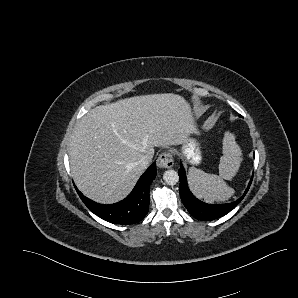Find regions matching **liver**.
Here are the masks:
<instances>
[{
  "mask_svg": "<svg viewBox=\"0 0 298 298\" xmlns=\"http://www.w3.org/2000/svg\"><path fill=\"white\" fill-rule=\"evenodd\" d=\"M197 132L190 103L175 93L120 99L91 109L71 135V176L90 199L111 204L130 193L155 147L185 144Z\"/></svg>",
  "mask_w": 298,
  "mask_h": 298,
  "instance_id": "liver-1",
  "label": "liver"
}]
</instances>
